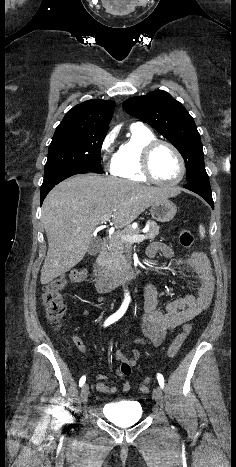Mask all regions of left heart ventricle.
<instances>
[{"label": "left heart ventricle", "instance_id": "obj_1", "mask_svg": "<svg viewBox=\"0 0 236 467\" xmlns=\"http://www.w3.org/2000/svg\"><path fill=\"white\" fill-rule=\"evenodd\" d=\"M152 170L162 181H174L180 174V163L174 152L166 146L158 147L152 157Z\"/></svg>", "mask_w": 236, "mask_h": 467}]
</instances>
